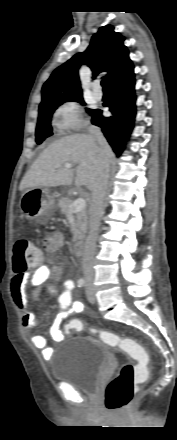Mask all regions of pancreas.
<instances>
[{
  "label": "pancreas",
  "instance_id": "obj_1",
  "mask_svg": "<svg viewBox=\"0 0 177 440\" xmlns=\"http://www.w3.org/2000/svg\"><path fill=\"white\" fill-rule=\"evenodd\" d=\"M73 204V200L69 198H62L59 200L58 207L61 212L67 217L74 227L73 241L82 239L87 231L88 215L86 210H82L77 213L70 211V206Z\"/></svg>",
  "mask_w": 177,
  "mask_h": 440
}]
</instances>
